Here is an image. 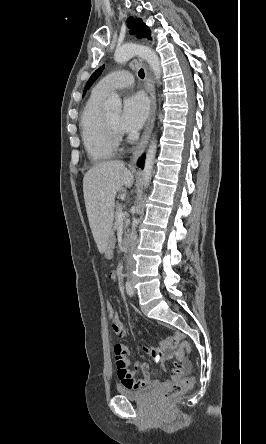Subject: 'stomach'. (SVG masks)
<instances>
[{
	"instance_id": "1",
	"label": "stomach",
	"mask_w": 266,
	"mask_h": 444,
	"mask_svg": "<svg viewBox=\"0 0 266 444\" xmlns=\"http://www.w3.org/2000/svg\"><path fill=\"white\" fill-rule=\"evenodd\" d=\"M112 245H113V237L110 236L108 238V240H107L106 248H105V251H104L107 258H111L112 257V252H111Z\"/></svg>"
}]
</instances>
